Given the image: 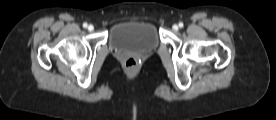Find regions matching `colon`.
<instances>
[{"label":"colon","instance_id":"obj_1","mask_svg":"<svg viewBox=\"0 0 276 120\" xmlns=\"http://www.w3.org/2000/svg\"><path fill=\"white\" fill-rule=\"evenodd\" d=\"M125 66L128 69H134L137 66V60L133 57H129L125 61Z\"/></svg>","mask_w":276,"mask_h":120}]
</instances>
